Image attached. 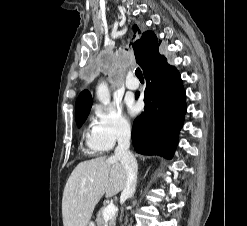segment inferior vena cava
I'll use <instances>...</instances> for the list:
<instances>
[{
	"label": "inferior vena cava",
	"mask_w": 247,
	"mask_h": 226,
	"mask_svg": "<svg viewBox=\"0 0 247 226\" xmlns=\"http://www.w3.org/2000/svg\"><path fill=\"white\" fill-rule=\"evenodd\" d=\"M131 131L129 125H123L117 132L118 146L115 148L114 158L118 159L127 173V180L122 195L127 199L134 195L137 184V161L129 150Z\"/></svg>",
	"instance_id": "602c4592"
}]
</instances>
